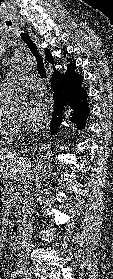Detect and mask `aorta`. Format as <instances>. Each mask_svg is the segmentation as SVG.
Wrapping results in <instances>:
<instances>
[{
	"mask_svg": "<svg viewBox=\"0 0 113 279\" xmlns=\"http://www.w3.org/2000/svg\"><path fill=\"white\" fill-rule=\"evenodd\" d=\"M28 65V58L26 56H17L14 59L12 64L13 71H20ZM23 106V99L20 96H17L11 102V112L19 113ZM51 156L52 151L48 146H42L40 149V153L37 158V171L39 176L45 177L47 173L51 170Z\"/></svg>",
	"mask_w": 113,
	"mask_h": 279,
	"instance_id": "aorta-1",
	"label": "aorta"
}]
</instances>
